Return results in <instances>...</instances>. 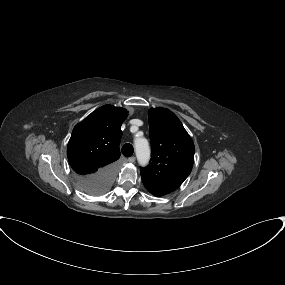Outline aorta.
Returning a JSON list of instances; mask_svg holds the SVG:
<instances>
[{"mask_svg": "<svg viewBox=\"0 0 285 285\" xmlns=\"http://www.w3.org/2000/svg\"><path fill=\"white\" fill-rule=\"evenodd\" d=\"M135 153L138 163L141 166H146L150 159V147L146 138L137 137L134 140Z\"/></svg>", "mask_w": 285, "mask_h": 285, "instance_id": "762f6f07", "label": "aorta"}]
</instances>
